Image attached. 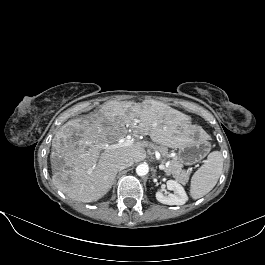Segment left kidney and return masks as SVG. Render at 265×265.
Returning <instances> with one entry per match:
<instances>
[{
	"mask_svg": "<svg viewBox=\"0 0 265 265\" xmlns=\"http://www.w3.org/2000/svg\"><path fill=\"white\" fill-rule=\"evenodd\" d=\"M167 188L174 193H169L168 195H163L162 192L156 193V199L162 203L167 205H183L188 200V196L181 184H179L175 180L167 181Z\"/></svg>",
	"mask_w": 265,
	"mask_h": 265,
	"instance_id": "5707ae66",
	"label": "left kidney"
}]
</instances>
